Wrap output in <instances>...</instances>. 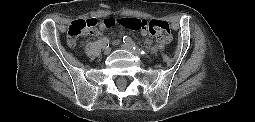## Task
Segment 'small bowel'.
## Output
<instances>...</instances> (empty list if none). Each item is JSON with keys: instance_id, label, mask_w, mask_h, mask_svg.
<instances>
[{"instance_id": "1", "label": "small bowel", "mask_w": 255, "mask_h": 122, "mask_svg": "<svg viewBox=\"0 0 255 122\" xmlns=\"http://www.w3.org/2000/svg\"><path fill=\"white\" fill-rule=\"evenodd\" d=\"M105 21H106V19L103 20V21L100 23V25H99V27H98V30L96 31L95 34L98 35V34H100L103 30H105L106 28H109V26L106 24ZM142 34H143V35H148V32H147V31H143ZM147 41L150 42V39H148Z\"/></svg>"}]
</instances>
